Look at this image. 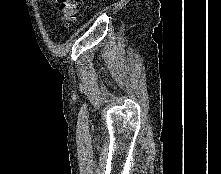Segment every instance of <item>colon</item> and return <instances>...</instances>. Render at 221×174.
Returning a JSON list of instances; mask_svg holds the SVG:
<instances>
[{
	"label": "colon",
	"mask_w": 221,
	"mask_h": 174,
	"mask_svg": "<svg viewBox=\"0 0 221 174\" xmlns=\"http://www.w3.org/2000/svg\"><path fill=\"white\" fill-rule=\"evenodd\" d=\"M62 10L61 24L68 27L76 20V12L80 6L77 0H57Z\"/></svg>",
	"instance_id": "5ec220e1"
}]
</instances>
